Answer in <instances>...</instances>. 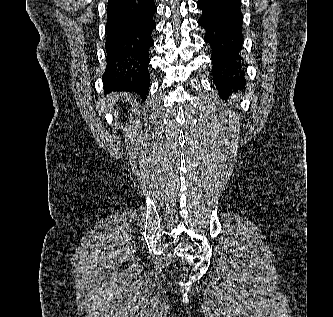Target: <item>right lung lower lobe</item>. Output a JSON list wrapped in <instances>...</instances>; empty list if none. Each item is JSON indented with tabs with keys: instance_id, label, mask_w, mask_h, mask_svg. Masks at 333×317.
<instances>
[{
	"instance_id": "right-lung-lower-lobe-1",
	"label": "right lung lower lobe",
	"mask_w": 333,
	"mask_h": 317,
	"mask_svg": "<svg viewBox=\"0 0 333 317\" xmlns=\"http://www.w3.org/2000/svg\"><path fill=\"white\" fill-rule=\"evenodd\" d=\"M154 0H109L107 5V67L105 92H135L144 100L150 86L148 72L151 37L156 28Z\"/></svg>"
}]
</instances>
